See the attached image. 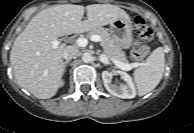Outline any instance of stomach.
<instances>
[{"instance_id":"obj_1","label":"stomach","mask_w":194,"mask_h":133,"mask_svg":"<svg viewBox=\"0 0 194 133\" xmlns=\"http://www.w3.org/2000/svg\"><path fill=\"white\" fill-rule=\"evenodd\" d=\"M132 22L129 18H119L112 22L109 28L115 42L123 49H128L133 40Z\"/></svg>"}]
</instances>
